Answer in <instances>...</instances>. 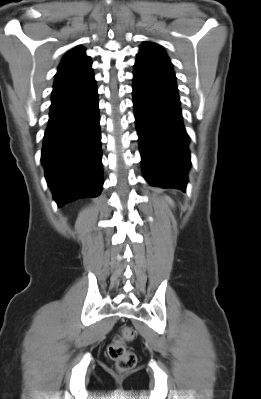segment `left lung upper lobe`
I'll return each mask as SVG.
<instances>
[{"mask_svg":"<svg viewBox=\"0 0 261 399\" xmlns=\"http://www.w3.org/2000/svg\"><path fill=\"white\" fill-rule=\"evenodd\" d=\"M136 63L173 71L172 64L165 52L154 43L145 42L141 45Z\"/></svg>","mask_w":261,"mask_h":399,"instance_id":"1","label":"left lung upper lobe"}]
</instances>
